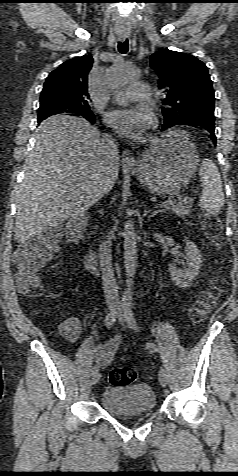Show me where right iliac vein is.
I'll use <instances>...</instances> for the list:
<instances>
[{
    "instance_id": "right-iliac-vein-1",
    "label": "right iliac vein",
    "mask_w": 238,
    "mask_h": 476,
    "mask_svg": "<svg viewBox=\"0 0 238 476\" xmlns=\"http://www.w3.org/2000/svg\"><path fill=\"white\" fill-rule=\"evenodd\" d=\"M100 373L97 371V372H93L92 373V376H91V383L93 385L97 384L98 381L100 380Z\"/></svg>"
}]
</instances>
